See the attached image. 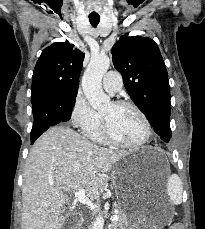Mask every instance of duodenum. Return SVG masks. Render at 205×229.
Listing matches in <instances>:
<instances>
[{"label":"duodenum","instance_id":"obj_1","mask_svg":"<svg viewBox=\"0 0 205 229\" xmlns=\"http://www.w3.org/2000/svg\"><path fill=\"white\" fill-rule=\"evenodd\" d=\"M81 216L79 215V217H78V219H77V224L76 225H78L80 222H81ZM70 229H77V226H74V227H72V228H70Z\"/></svg>","mask_w":205,"mask_h":229}]
</instances>
